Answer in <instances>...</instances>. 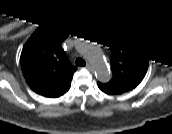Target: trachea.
Returning <instances> with one entry per match:
<instances>
[{
	"instance_id": "trachea-1",
	"label": "trachea",
	"mask_w": 172,
	"mask_h": 134,
	"mask_svg": "<svg viewBox=\"0 0 172 134\" xmlns=\"http://www.w3.org/2000/svg\"><path fill=\"white\" fill-rule=\"evenodd\" d=\"M76 65L77 66H83V65H85V61L81 58H77L76 59Z\"/></svg>"
}]
</instances>
